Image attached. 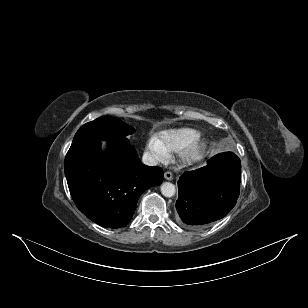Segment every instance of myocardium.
<instances>
[{
	"instance_id": "myocardium-1",
	"label": "myocardium",
	"mask_w": 308,
	"mask_h": 308,
	"mask_svg": "<svg viewBox=\"0 0 308 308\" xmlns=\"http://www.w3.org/2000/svg\"><path fill=\"white\" fill-rule=\"evenodd\" d=\"M207 143L201 137H197L188 146L180 151V161L183 164H192L199 161L205 154Z\"/></svg>"
}]
</instances>
